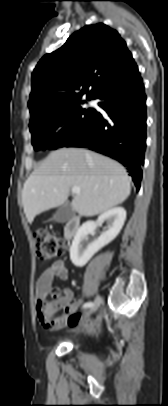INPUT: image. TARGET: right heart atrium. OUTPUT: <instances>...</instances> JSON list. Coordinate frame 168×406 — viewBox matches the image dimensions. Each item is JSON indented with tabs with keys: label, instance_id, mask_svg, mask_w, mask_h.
<instances>
[{
	"label": "right heart atrium",
	"instance_id": "obj_1",
	"mask_svg": "<svg viewBox=\"0 0 168 406\" xmlns=\"http://www.w3.org/2000/svg\"><path fill=\"white\" fill-rule=\"evenodd\" d=\"M65 123L64 122H61V123H59L58 125H57V127H56V132L57 133H59V134H61V133H63L64 131H65Z\"/></svg>",
	"mask_w": 168,
	"mask_h": 406
}]
</instances>
